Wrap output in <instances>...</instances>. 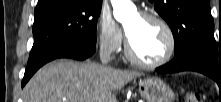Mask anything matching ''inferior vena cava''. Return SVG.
Returning <instances> with one entry per match:
<instances>
[{
    "label": "inferior vena cava",
    "instance_id": "inferior-vena-cava-1",
    "mask_svg": "<svg viewBox=\"0 0 221 102\" xmlns=\"http://www.w3.org/2000/svg\"><path fill=\"white\" fill-rule=\"evenodd\" d=\"M112 46L111 42L104 40L100 46V60L102 64H107L111 60Z\"/></svg>",
    "mask_w": 221,
    "mask_h": 102
}]
</instances>
